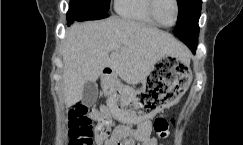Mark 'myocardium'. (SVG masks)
Segmentation results:
<instances>
[{"instance_id": "1", "label": "myocardium", "mask_w": 243, "mask_h": 145, "mask_svg": "<svg viewBox=\"0 0 243 145\" xmlns=\"http://www.w3.org/2000/svg\"><path fill=\"white\" fill-rule=\"evenodd\" d=\"M149 1V4H148V8H149V13L151 15V17L153 18V20L160 26L162 27H166V28H169V27H172L174 26L177 21H178V17H179V3H178V0H173V3H174V6H175V18H174V21L172 24L170 25H167V24H164L162 23L158 16H157V13H156V5H157V0H148Z\"/></svg>"}]
</instances>
